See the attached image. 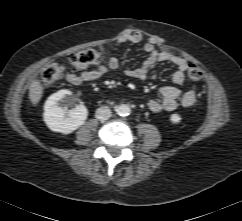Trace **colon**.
<instances>
[{
	"mask_svg": "<svg viewBox=\"0 0 242 221\" xmlns=\"http://www.w3.org/2000/svg\"><path fill=\"white\" fill-rule=\"evenodd\" d=\"M106 55V50L100 49H86L70 54L69 62L76 68L81 69L101 60ZM64 75L63 68L58 63H51L46 66L40 76V83L44 89L52 87L56 82L62 79ZM187 76L193 81L197 82L202 79V70L194 64L187 68Z\"/></svg>",
	"mask_w": 242,
	"mask_h": 221,
	"instance_id": "colon-1",
	"label": "colon"
}]
</instances>
